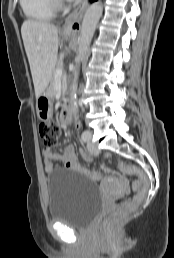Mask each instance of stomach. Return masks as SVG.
<instances>
[{
	"mask_svg": "<svg viewBox=\"0 0 174 258\" xmlns=\"http://www.w3.org/2000/svg\"><path fill=\"white\" fill-rule=\"evenodd\" d=\"M63 37L69 38L70 35L62 34ZM36 109L38 118L42 121H47L52 117L53 114V102L50 89H46L42 95L36 100Z\"/></svg>",
	"mask_w": 174,
	"mask_h": 258,
	"instance_id": "1",
	"label": "stomach"
}]
</instances>
